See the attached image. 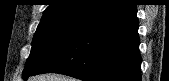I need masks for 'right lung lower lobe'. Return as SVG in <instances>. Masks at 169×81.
Listing matches in <instances>:
<instances>
[{"instance_id": "1", "label": "right lung lower lobe", "mask_w": 169, "mask_h": 81, "mask_svg": "<svg viewBox=\"0 0 169 81\" xmlns=\"http://www.w3.org/2000/svg\"><path fill=\"white\" fill-rule=\"evenodd\" d=\"M137 8L131 1L85 22L35 71L83 81H141Z\"/></svg>"}]
</instances>
